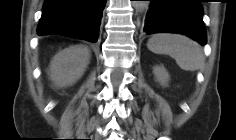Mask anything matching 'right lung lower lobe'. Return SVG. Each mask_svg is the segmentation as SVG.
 <instances>
[{"instance_id":"1","label":"right lung lower lobe","mask_w":236,"mask_h":140,"mask_svg":"<svg viewBox=\"0 0 236 140\" xmlns=\"http://www.w3.org/2000/svg\"><path fill=\"white\" fill-rule=\"evenodd\" d=\"M106 0H45L37 33L96 42Z\"/></svg>"}]
</instances>
